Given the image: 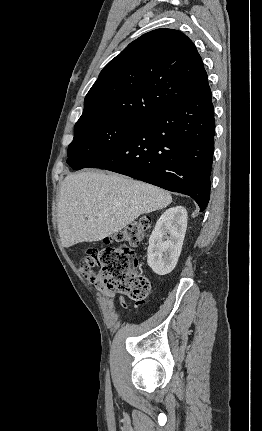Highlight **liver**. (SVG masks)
<instances>
[{"instance_id":"obj_1","label":"liver","mask_w":262,"mask_h":431,"mask_svg":"<svg viewBox=\"0 0 262 431\" xmlns=\"http://www.w3.org/2000/svg\"><path fill=\"white\" fill-rule=\"evenodd\" d=\"M169 192L115 173L83 171L68 175L58 201V232L66 248L100 241L142 214L167 207Z\"/></svg>"}]
</instances>
